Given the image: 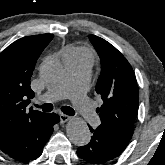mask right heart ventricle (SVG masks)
<instances>
[{
  "label": "right heart ventricle",
  "instance_id": "obj_1",
  "mask_svg": "<svg viewBox=\"0 0 165 165\" xmlns=\"http://www.w3.org/2000/svg\"><path fill=\"white\" fill-rule=\"evenodd\" d=\"M64 59L66 58H89L91 59V54L89 50L82 46L69 47L64 51Z\"/></svg>",
  "mask_w": 165,
  "mask_h": 165
}]
</instances>
